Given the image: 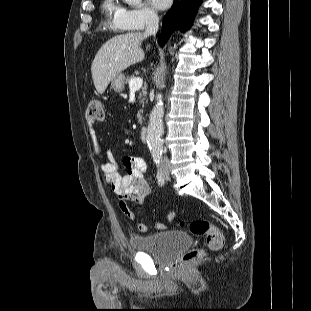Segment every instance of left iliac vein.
Listing matches in <instances>:
<instances>
[{"label":"left iliac vein","mask_w":311,"mask_h":311,"mask_svg":"<svg viewBox=\"0 0 311 311\" xmlns=\"http://www.w3.org/2000/svg\"><path fill=\"white\" fill-rule=\"evenodd\" d=\"M166 169H168V168H166ZM165 179H169V171H167V172L165 173Z\"/></svg>","instance_id":"obj_1"}]
</instances>
